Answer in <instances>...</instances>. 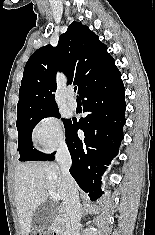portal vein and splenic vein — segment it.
Returning <instances> with one entry per match:
<instances>
[{"instance_id": "18ae733b", "label": "portal vein and splenic vein", "mask_w": 155, "mask_h": 235, "mask_svg": "<svg viewBox=\"0 0 155 235\" xmlns=\"http://www.w3.org/2000/svg\"><path fill=\"white\" fill-rule=\"evenodd\" d=\"M49 194H50V196H51L52 199H54V200H60L59 194L54 193V192H51V191H49Z\"/></svg>"}]
</instances>
